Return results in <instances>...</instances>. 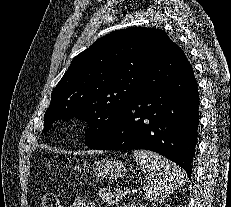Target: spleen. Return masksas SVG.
Returning <instances> with one entry per match:
<instances>
[{"label":"spleen","instance_id":"1","mask_svg":"<svg viewBox=\"0 0 231 207\" xmlns=\"http://www.w3.org/2000/svg\"><path fill=\"white\" fill-rule=\"evenodd\" d=\"M133 159L148 176L144 190L149 201L166 198L186 182V173L180 167L154 152L135 150Z\"/></svg>","mask_w":231,"mask_h":207}]
</instances>
